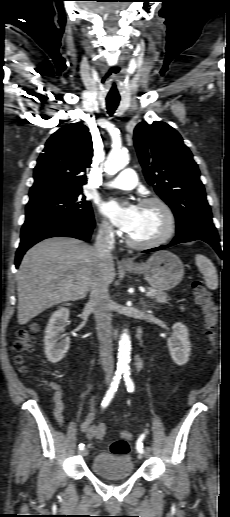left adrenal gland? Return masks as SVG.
<instances>
[{
    "instance_id": "1",
    "label": "left adrenal gland",
    "mask_w": 230,
    "mask_h": 517,
    "mask_svg": "<svg viewBox=\"0 0 230 517\" xmlns=\"http://www.w3.org/2000/svg\"><path fill=\"white\" fill-rule=\"evenodd\" d=\"M143 305L146 306L145 302H143ZM150 306H153V304H149Z\"/></svg>"
}]
</instances>
